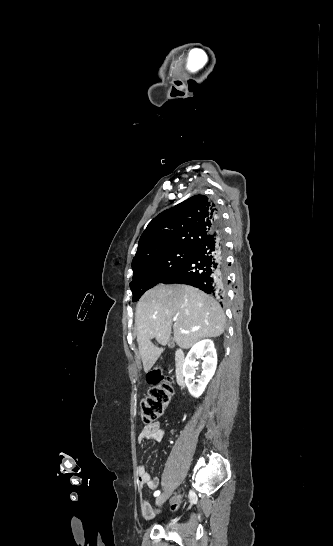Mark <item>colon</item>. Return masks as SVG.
Returning a JSON list of instances; mask_svg holds the SVG:
<instances>
[{
	"label": "colon",
	"mask_w": 333,
	"mask_h": 546,
	"mask_svg": "<svg viewBox=\"0 0 333 546\" xmlns=\"http://www.w3.org/2000/svg\"><path fill=\"white\" fill-rule=\"evenodd\" d=\"M147 381L151 387L140 404L141 418L146 426L164 414L174 392L171 378L158 369L147 374Z\"/></svg>",
	"instance_id": "1"
}]
</instances>
